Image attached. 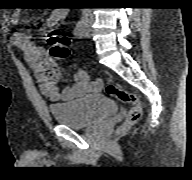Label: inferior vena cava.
Instances as JSON below:
<instances>
[{
	"label": "inferior vena cava",
	"instance_id": "inferior-vena-cava-1",
	"mask_svg": "<svg viewBox=\"0 0 192 180\" xmlns=\"http://www.w3.org/2000/svg\"><path fill=\"white\" fill-rule=\"evenodd\" d=\"M84 14H85L86 16H90V12H89L88 10H85V11H84Z\"/></svg>",
	"mask_w": 192,
	"mask_h": 180
}]
</instances>
